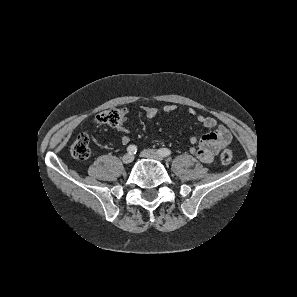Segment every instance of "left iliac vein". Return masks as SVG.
Instances as JSON below:
<instances>
[{"label": "left iliac vein", "mask_w": 297, "mask_h": 297, "mask_svg": "<svg viewBox=\"0 0 297 297\" xmlns=\"http://www.w3.org/2000/svg\"><path fill=\"white\" fill-rule=\"evenodd\" d=\"M141 156L144 158H150V159H155L158 161L163 160V156L160 155L157 151L153 149H145L141 152Z\"/></svg>", "instance_id": "obj_1"}]
</instances>
